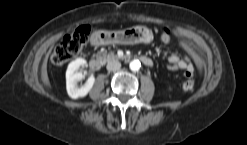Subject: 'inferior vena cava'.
Here are the masks:
<instances>
[{
    "instance_id": "inferior-vena-cava-1",
    "label": "inferior vena cava",
    "mask_w": 247,
    "mask_h": 145,
    "mask_svg": "<svg viewBox=\"0 0 247 145\" xmlns=\"http://www.w3.org/2000/svg\"><path fill=\"white\" fill-rule=\"evenodd\" d=\"M106 68L108 71H117L121 68V63L117 60H112L107 63Z\"/></svg>"
}]
</instances>
